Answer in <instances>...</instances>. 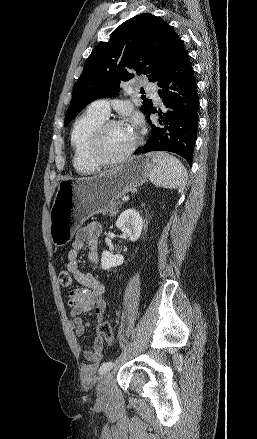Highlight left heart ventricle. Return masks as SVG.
Returning a JSON list of instances; mask_svg holds the SVG:
<instances>
[{"mask_svg": "<svg viewBox=\"0 0 257 439\" xmlns=\"http://www.w3.org/2000/svg\"><path fill=\"white\" fill-rule=\"evenodd\" d=\"M136 136V130L126 123L110 127L103 139L105 156L114 157L120 154L135 141Z\"/></svg>", "mask_w": 257, "mask_h": 439, "instance_id": "obj_1", "label": "left heart ventricle"}]
</instances>
